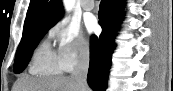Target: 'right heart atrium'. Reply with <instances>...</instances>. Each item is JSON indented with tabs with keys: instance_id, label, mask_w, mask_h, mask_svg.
I'll return each instance as SVG.
<instances>
[{
	"instance_id": "d8ad5b80",
	"label": "right heart atrium",
	"mask_w": 173,
	"mask_h": 91,
	"mask_svg": "<svg viewBox=\"0 0 173 91\" xmlns=\"http://www.w3.org/2000/svg\"><path fill=\"white\" fill-rule=\"evenodd\" d=\"M49 38L55 43L57 57L62 69L74 70L86 60L90 52V42L84 32L70 20L64 19L49 31Z\"/></svg>"
}]
</instances>
